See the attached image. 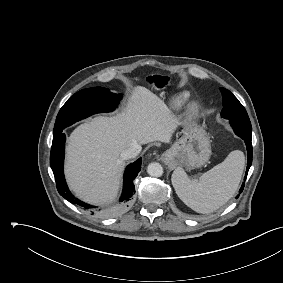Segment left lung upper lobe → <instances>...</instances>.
Here are the masks:
<instances>
[{
  "mask_svg": "<svg viewBox=\"0 0 283 283\" xmlns=\"http://www.w3.org/2000/svg\"><path fill=\"white\" fill-rule=\"evenodd\" d=\"M223 95V109L221 116L229 119L236 135L239 136L241 128L251 126L248 114L238 99L227 89L220 88Z\"/></svg>",
  "mask_w": 283,
  "mask_h": 283,
  "instance_id": "obj_1",
  "label": "left lung upper lobe"
}]
</instances>
